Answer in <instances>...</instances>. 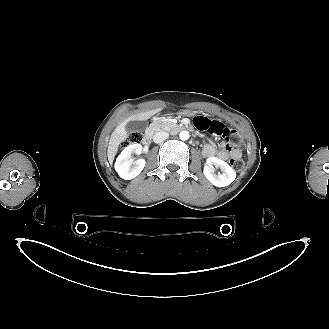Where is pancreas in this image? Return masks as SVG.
Instances as JSON below:
<instances>
[{
    "label": "pancreas",
    "mask_w": 329,
    "mask_h": 329,
    "mask_svg": "<svg viewBox=\"0 0 329 329\" xmlns=\"http://www.w3.org/2000/svg\"><path fill=\"white\" fill-rule=\"evenodd\" d=\"M153 127L155 128L156 131H169L171 133H174L178 126L177 124L173 123L172 121H169L166 118L159 119L153 123Z\"/></svg>",
    "instance_id": "cf45deb5"
}]
</instances>
